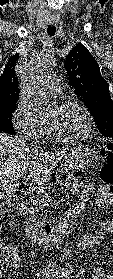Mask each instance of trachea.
Returning a JSON list of instances; mask_svg holds the SVG:
<instances>
[{"label":"trachea","instance_id":"obj_1","mask_svg":"<svg viewBox=\"0 0 113 279\" xmlns=\"http://www.w3.org/2000/svg\"><path fill=\"white\" fill-rule=\"evenodd\" d=\"M55 32H56V27L49 25L48 28H47L48 35L53 36L55 34Z\"/></svg>","mask_w":113,"mask_h":279}]
</instances>
